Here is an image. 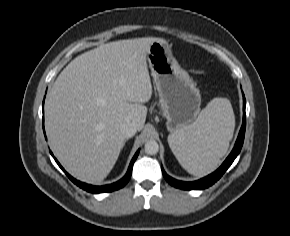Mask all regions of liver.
I'll list each match as a JSON object with an SVG mask.
<instances>
[{"mask_svg": "<svg viewBox=\"0 0 290 236\" xmlns=\"http://www.w3.org/2000/svg\"><path fill=\"white\" fill-rule=\"evenodd\" d=\"M158 38L113 41L73 59L45 103L51 149L76 179L99 184L114 167L125 137L123 124L144 127L152 84L147 53Z\"/></svg>", "mask_w": 290, "mask_h": 236, "instance_id": "liver-1", "label": "liver"}]
</instances>
